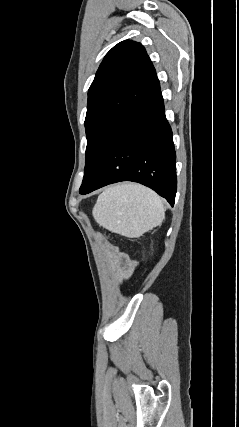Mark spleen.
Wrapping results in <instances>:
<instances>
[{
	"instance_id": "1",
	"label": "spleen",
	"mask_w": 239,
	"mask_h": 427,
	"mask_svg": "<svg viewBox=\"0 0 239 427\" xmlns=\"http://www.w3.org/2000/svg\"><path fill=\"white\" fill-rule=\"evenodd\" d=\"M92 214L103 228L137 238L162 223L165 208L160 196L151 189L123 183L106 188L98 197Z\"/></svg>"
}]
</instances>
